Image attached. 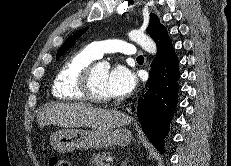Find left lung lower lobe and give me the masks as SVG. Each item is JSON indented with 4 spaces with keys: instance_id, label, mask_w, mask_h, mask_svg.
I'll return each mask as SVG.
<instances>
[{
    "instance_id": "1",
    "label": "left lung lower lobe",
    "mask_w": 231,
    "mask_h": 166,
    "mask_svg": "<svg viewBox=\"0 0 231 166\" xmlns=\"http://www.w3.org/2000/svg\"><path fill=\"white\" fill-rule=\"evenodd\" d=\"M155 42L158 53L151 64V76L146 85L149 89L145 99L139 101L136 113L150 141L164 152V138L178 102L179 60L166 29Z\"/></svg>"
}]
</instances>
